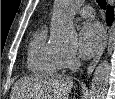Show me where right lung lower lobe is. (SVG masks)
I'll return each instance as SVG.
<instances>
[{"label": "right lung lower lobe", "instance_id": "1", "mask_svg": "<svg viewBox=\"0 0 115 99\" xmlns=\"http://www.w3.org/2000/svg\"><path fill=\"white\" fill-rule=\"evenodd\" d=\"M106 19L108 24H111L113 21V9L111 7L107 9Z\"/></svg>", "mask_w": 115, "mask_h": 99}]
</instances>
